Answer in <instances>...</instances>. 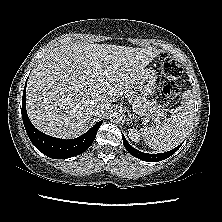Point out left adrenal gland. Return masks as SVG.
I'll use <instances>...</instances> for the list:
<instances>
[{
  "mask_svg": "<svg viewBox=\"0 0 222 222\" xmlns=\"http://www.w3.org/2000/svg\"><path fill=\"white\" fill-rule=\"evenodd\" d=\"M127 113H128V122L129 121H132L133 119L136 120V115L134 113H131L130 110H127Z\"/></svg>",
  "mask_w": 222,
  "mask_h": 222,
  "instance_id": "a2214340",
  "label": "left adrenal gland"
}]
</instances>
